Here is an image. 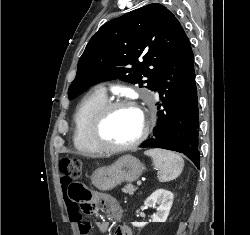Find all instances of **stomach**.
<instances>
[{"mask_svg":"<svg viewBox=\"0 0 250 235\" xmlns=\"http://www.w3.org/2000/svg\"><path fill=\"white\" fill-rule=\"evenodd\" d=\"M144 170L139 159L132 155L120 157L114 164L98 168L92 175L93 185L101 191H110L122 182L137 180Z\"/></svg>","mask_w":250,"mask_h":235,"instance_id":"stomach-1","label":"stomach"}]
</instances>
